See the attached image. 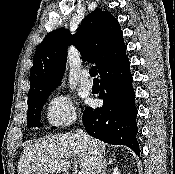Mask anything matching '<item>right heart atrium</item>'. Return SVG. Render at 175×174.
<instances>
[{
    "label": "right heart atrium",
    "instance_id": "d8ad5b80",
    "mask_svg": "<svg viewBox=\"0 0 175 174\" xmlns=\"http://www.w3.org/2000/svg\"><path fill=\"white\" fill-rule=\"evenodd\" d=\"M46 117L52 126H65L76 119L72 98L67 94H56L47 103Z\"/></svg>",
    "mask_w": 175,
    "mask_h": 174
}]
</instances>
